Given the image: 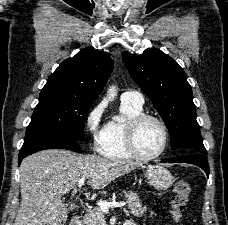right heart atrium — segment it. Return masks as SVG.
<instances>
[{
    "label": "right heart atrium",
    "instance_id": "obj_1",
    "mask_svg": "<svg viewBox=\"0 0 228 225\" xmlns=\"http://www.w3.org/2000/svg\"><path fill=\"white\" fill-rule=\"evenodd\" d=\"M105 109V102L100 101L88 110L84 118L86 132L91 136L94 145L98 144L107 128L108 123L104 122Z\"/></svg>",
    "mask_w": 228,
    "mask_h": 225
}]
</instances>
